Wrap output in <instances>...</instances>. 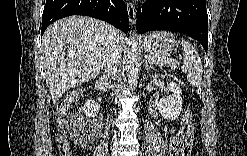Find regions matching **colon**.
I'll use <instances>...</instances> for the list:
<instances>
[{"instance_id": "obj_1", "label": "colon", "mask_w": 247, "mask_h": 156, "mask_svg": "<svg viewBox=\"0 0 247 156\" xmlns=\"http://www.w3.org/2000/svg\"><path fill=\"white\" fill-rule=\"evenodd\" d=\"M80 91L75 90L67 94L64 99L57 105L54 112V120L56 123V149L59 155L68 156L70 155V143L66 135V126L69 122L67 116L68 107L78 100ZM193 113L191 109L185 112L184 118L180 124L179 132H184L192 124ZM177 155H186L187 152L184 150H178Z\"/></svg>"}]
</instances>
